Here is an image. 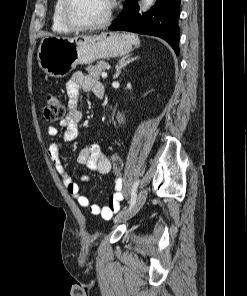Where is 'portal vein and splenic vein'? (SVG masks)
Masks as SVG:
<instances>
[{
	"instance_id": "1",
	"label": "portal vein and splenic vein",
	"mask_w": 247,
	"mask_h": 296,
	"mask_svg": "<svg viewBox=\"0 0 247 296\" xmlns=\"http://www.w3.org/2000/svg\"><path fill=\"white\" fill-rule=\"evenodd\" d=\"M102 78H106L107 77V73L106 72H102L101 73Z\"/></svg>"
}]
</instances>
